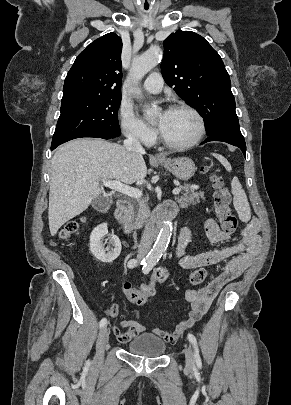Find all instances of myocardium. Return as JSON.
Instances as JSON below:
<instances>
[{
  "label": "myocardium",
  "instance_id": "obj_1",
  "mask_svg": "<svg viewBox=\"0 0 291 405\" xmlns=\"http://www.w3.org/2000/svg\"><path fill=\"white\" fill-rule=\"evenodd\" d=\"M187 110L189 111L197 120L198 123V131L195 135V137L186 142V143H173L168 141L162 134L161 130L158 132L159 136V141L161 144H163L165 147L173 150H186L194 147L197 145L204 137L206 133V123L205 119L202 116V114L193 106L186 104V103H176L170 106L169 110Z\"/></svg>",
  "mask_w": 291,
  "mask_h": 405
}]
</instances>
